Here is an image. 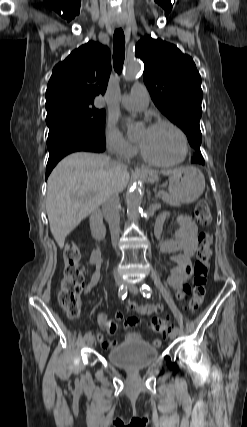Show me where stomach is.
Masks as SVG:
<instances>
[{"instance_id":"stomach-1","label":"stomach","mask_w":247,"mask_h":427,"mask_svg":"<svg viewBox=\"0 0 247 427\" xmlns=\"http://www.w3.org/2000/svg\"><path fill=\"white\" fill-rule=\"evenodd\" d=\"M146 178L149 182L158 181L157 176L152 175ZM204 189V175L196 167H181L169 172V194L179 203L195 202L203 194Z\"/></svg>"}]
</instances>
